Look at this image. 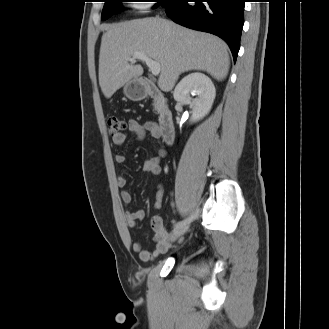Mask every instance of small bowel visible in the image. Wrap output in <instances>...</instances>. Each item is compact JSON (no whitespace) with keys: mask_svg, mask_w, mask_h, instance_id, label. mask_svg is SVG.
Returning <instances> with one entry per match:
<instances>
[{"mask_svg":"<svg viewBox=\"0 0 329 329\" xmlns=\"http://www.w3.org/2000/svg\"><path fill=\"white\" fill-rule=\"evenodd\" d=\"M128 130L136 135L137 139L144 137L146 133H149L153 138H160V127L157 123L153 121L140 122L136 119H129ZM128 138L127 133H122L116 136H112V141L117 146H122L126 143ZM165 151L161 150L159 156L151 157L147 159L143 164V170L147 173L160 174L161 165L160 160L164 156ZM115 160L118 164H124L126 162V157L124 154H117ZM127 181L122 175L117 178V184L119 187H125ZM164 191L161 184L157 186V191L155 194L156 208L161 206ZM121 200L125 205H128L132 201V194L130 191L123 189L120 193ZM145 218V212L143 210L128 211L125 214V220L130 228L136 226L138 221H142ZM151 227L154 232V243L155 248L153 250L144 249L143 244L140 241H135L132 245L133 251L139 254L142 261L153 260L160 254L166 253L171 248L170 233L164 226L163 220L160 216L155 215L151 219Z\"/></svg>","mask_w":329,"mask_h":329,"instance_id":"small-bowel-1","label":"small bowel"}]
</instances>
